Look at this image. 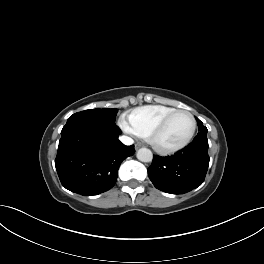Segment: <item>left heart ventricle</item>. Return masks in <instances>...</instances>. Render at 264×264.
Here are the masks:
<instances>
[{"instance_id":"1","label":"left heart ventricle","mask_w":264,"mask_h":264,"mask_svg":"<svg viewBox=\"0 0 264 264\" xmlns=\"http://www.w3.org/2000/svg\"><path fill=\"white\" fill-rule=\"evenodd\" d=\"M192 129L191 118L184 113L175 115L165 129L157 136L156 141L161 146H172L184 141Z\"/></svg>"}]
</instances>
